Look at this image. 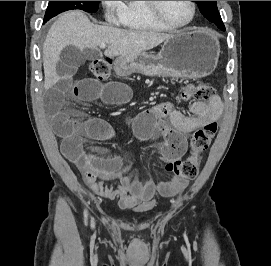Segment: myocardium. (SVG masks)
I'll use <instances>...</instances> for the list:
<instances>
[{
  "instance_id": "1",
  "label": "myocardium",
  "mask_w": 271,
  "mask_h": 266,
  "mask_svg": "<svg viewBox=\"0 0 271 266\" xmlns=\"http://www.w3.org/2000/svg\"><path fill=\"white\" fill-rule=\"evenodd\" d=\"M191 8H192V12H191V17L190 19L184 23V24H174L172 22H170L161 12L160 9V1H146V7L148 9V11L150 12V14L152 15V17L158 21L160 24L164 25L165 27L169 28V29H184L189 27L195 17H196V12H197V7H196V3L194 1H189Z\"/></svg>"
}]
</instances>
